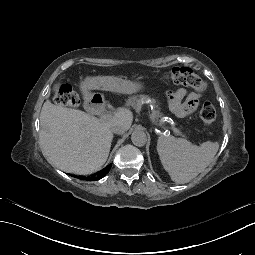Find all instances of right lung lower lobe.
Returning <instances> with one entry per match:
<instances>
[{
    "instance_id": "98d812e1",
    "label": "right lung lower lobe",
    "mask_w": 255,
    "mask_h": 255,
    "mask_svg": "<svg viewBox=\"0 0 255 255\" xmlns=\"http://www.w3.org/2000/svg\"><path fill=\"white\" fill-rule=\"evenodd\" d=\"M105 175H102L100 176L99 178H96V179H91V178H88V179H83V180H90V181H96V180H99L101 178H103ZM79 178V177H78ZM79 179H82V178H79Z\"/></svg>"
}]
</instances>
